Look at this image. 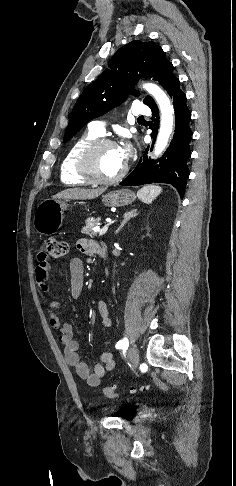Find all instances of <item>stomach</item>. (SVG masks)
I'll list each match as a JSON object with an SVG mask.
<instances>
[{"label":"stomach","mask_w":236,"mask_h":486,"mask_svg":"<svg viewBox=\"0 0 236 486\" xmlns=\"http://www.w3.org/2000/svg\"><path fill=\"white\" fill-rule=\"evenodd\" d=\"M136 196L129 189L115 190L103 196V202L109 207L130 205ZM68 200L46 199L41 202L34 213L33 226L41 235H51L57 232L64 219V211Z\"/></svg>","instance_id":"0dacf381"}]
</instances>
